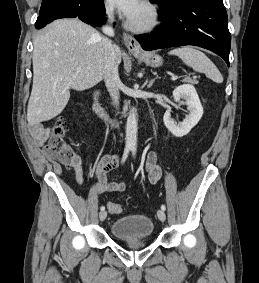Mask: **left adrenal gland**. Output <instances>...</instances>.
<instances>
[{"label": "left adrenal gland", "mask_w": 259, "mask_h": 283, "mask_svg": "<svg viewBox=\"0 0 259 283\" xmlns=\"http://www.w3.org/2000/svg\"><path fill=\"white\" fill-rule=\"evenodd\" d=\"M156 79H158V77H156V78L152 79L151 81H149V84L147 85V87L151 88Z\"/></svg>", "instance_id": "obj_1"}]
</instances>
